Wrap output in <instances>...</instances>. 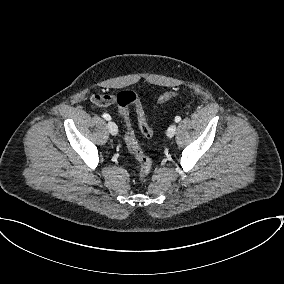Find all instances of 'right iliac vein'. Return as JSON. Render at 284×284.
<instances>
[{
	"label": "right iliac vein",
	"mask_w": 284,
	"mask_h": 284,
	"mask_svg": "<svg viewBox=\"0 0 284 284\" xmlns=\"http://www.w3.org/2000/svg\"><path fill=\"white\" fill-rule=\"evenodd\" d=\"M108 129H109V132L112 134V135H117L118 133V127L117 125L115 124V122L113 121H109L108 122Z\"/></svg>",
	"instance_id": "obj_1"
}]
</instances>
